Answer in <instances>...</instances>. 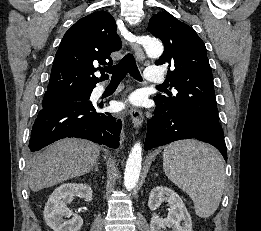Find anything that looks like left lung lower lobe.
I'll return each mask as SVG.
<instances>
[{
  "label": "left lung lower lobe",
  "instance_id": "0a47b994",
  "mask_svg": "<svg viewBox=\"0 0 261 231\" xmlns=\"http://www.w3.org/2000/svg\"><path fill=\"white\" fill-rule=\"evenodd\" d=\"M197 139L216 147L227 160L224 134L210 123L194 118L183 110H171L156 103L148 122L145 150L182 139Z\"/></svg>",
  "mask_w": 261,
  "mask_h": 231
}]
</instances>
